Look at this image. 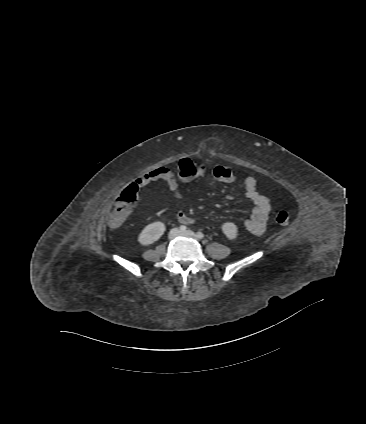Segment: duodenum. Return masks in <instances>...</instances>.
<instances>
[{
    "label": "duodenum",
    "mask_w": 366,
    "mask_h": 424,
    "mask_svg": "<svg viewBox=\"0 0 366 424\" xmlns=\"http://www.w3.org/2000/svg\"><path fill=\"white\" fill-rule=\"evenodd\" d=\"M178 219H179L181 222H188V221H190V220H191L189 217L185 216L183 213H180V214L178 215Z\"/></svg>",
    "instance_id": "duodenum-1"
}]
</instances>
